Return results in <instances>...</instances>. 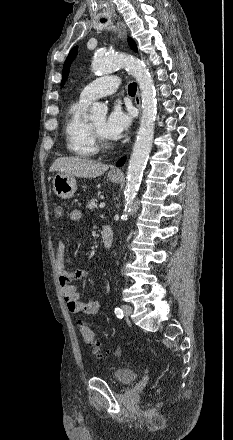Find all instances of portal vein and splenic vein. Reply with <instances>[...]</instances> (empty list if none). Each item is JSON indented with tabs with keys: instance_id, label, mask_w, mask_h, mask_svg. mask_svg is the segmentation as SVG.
<instances>
[{
	"instance_id": "1",
	"label": "portal vein and splenic vein",
	"mask_w": 233,
	"mask_h": 440,
	"mask_svg": "<svg viewBox=\"0 0 233 440\" xmlns=\"http://www.w3.org/2000/svg\"><path fill=\"white\" fill-rule=\"evenodd\" d=\"M99 207L100 208H104L105 207V203H100Z\"/></svg>"
}]
</instances>
